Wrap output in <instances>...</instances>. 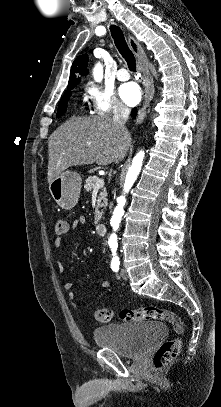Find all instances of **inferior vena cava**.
Wrapping results in <instances>:
<instances>
[{"label": "inferior vena cava", "mask_w": 221, "mask_h": 407, "mask_svg": "<svg viewBox=\"0 0 221 407\" xmlns=\"http://www.w3.org/2000/svg\"><path fill=\"white\" fill-rule=\"evenodd\" d=\"M129 115L130 110L125 105L122 103H118L116 105L112 120L114 124L123 132H127L125 123L128 120Z\"/></svg>", "instance_id": "602c4592"}]
</instances>
